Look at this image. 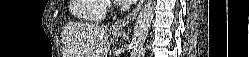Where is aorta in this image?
<instances>
[{
    "label": "aorta",
    "instance_id": "aorta-1",
    "mask_svg": "<svg viewBox=\"0 0 249 57\" xmlns=\"http://www.w3.org/2000/svg\"><path fill=\"white\" fill-rule=\"evenodd\" d=\"M155 1L148 0L142 7L133 30L131 43V56L140 57L144 42L147 38L149 28L154 16Z\"/></svg>",
    "mask_w": 249,
    "mask_h": 57
}]
</instances>
